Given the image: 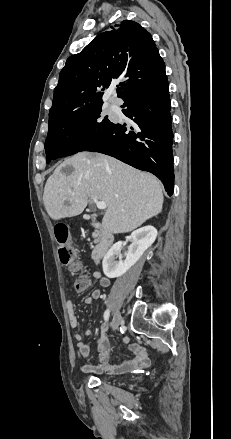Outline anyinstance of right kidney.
Returning a JSON list of instances; mask_svg holds the SVG:
<instances>
[{"label": "right kidney", "mask_w": 231, "mask_h": 439, "mask_svg": "<svg viewBox=\"0 0 231 439\" xmlns=\"http://www.w3.org/2000/svg\"><path fill=\"white\" fill-rule=\"evenodd\" d=\"M157 234V230L153 226H144L132 232V243L124 261L121 257L122 242L115 243L103 259L104 274L108 278H116L125 274L154 243Z\"/></svg>", "instance_id": "obj_1"}]
</instances>
